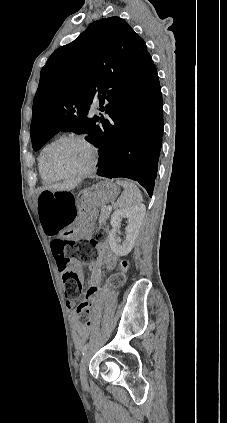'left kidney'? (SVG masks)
I'll return each mask as SVG.
<instances>
[{"mask_svg": "<svg viewBox=\"0 0 227 423\" xmlns=\"http://www.w3.org/2000/svg\"><path fill=\"white\" fill-rule=\"evenodd\" d=\"M145 211L144 204H140V206H135V208H123V210H115L112 213L110 221L112 229L108 233V241L115 255H127L134 247L135 239L145 217ZM123 217L128 219V225H126L127 233L125 239H120L116 231L117 227H120V221H122Z\"/></svg>", "mask_w": 227, "mask_h": 423, "instance_id": "left-kidney-1", "label": "left kidney"}]
</instances>
